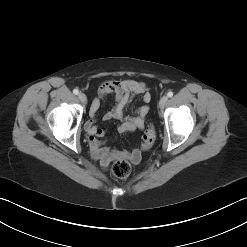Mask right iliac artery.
<instances>
[{
	"label": "right iliac artery",
	"instance_id": "1",
	"mask_svg": "<svg viewBox=\"0 0 247 247\" xmlns=\"http://www.w3.org/2000/svg\"><path fill=\"white\" fill-rule=\"evenodd\" d=\"M73 93H74L75 95H77V94L79 93V91H78L77 89H74V90H73Z\"/></svg>",
	"mask_w": 247,
	"mask_h": 247
}]
</instances>
